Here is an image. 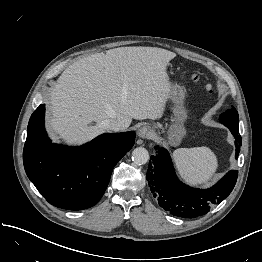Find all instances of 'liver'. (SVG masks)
Wrapping results in <instances>:
<instances>
[{
    "instance_id": "6515ba94",
    "label": "liver",
    "mask_w": 262,
    "mask_h": 262,
    "mask_svg": "<svg viewBox=\"0 0 262 262\" xmlns=\"http://www.w3.org/2000/svg\"><path fill=\"white\" fill-rule=\"evenodd\" d=\"M176 54L157 47H120L70 65L50 93L49 128L68 143L103 133L104 122L162 117ZM94 123V125H92Z\"/></svg>"
}]
</instances>
